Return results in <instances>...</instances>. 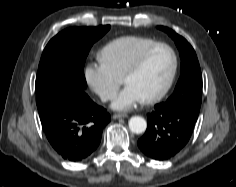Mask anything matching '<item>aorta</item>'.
Returning <instances> with one entry per match:
<instances>
[{
  "label": "aorta",
  "mask_w": 236,
  "mask_h": 187,
  "mask_svg": "<svg viewBox=\"0 0 236 187\" xmlns=\"http://www.w3.org/2000/svg\"><path fill=\"white\" fill-rule=\"evenodd\" d=\"M129 129L131 132L135 134H140L145 132L147 128V122L143 117L140 116H133L130 118L129 122Z\"/></svg>",
  "instance_id": "762f6f07"
}]
</instances>
